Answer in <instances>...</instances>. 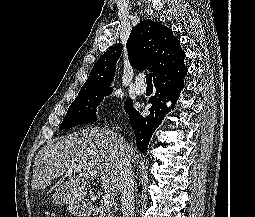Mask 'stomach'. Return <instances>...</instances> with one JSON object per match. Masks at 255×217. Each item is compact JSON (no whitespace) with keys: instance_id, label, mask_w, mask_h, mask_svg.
<instances>
[{"instance_id":"1","label":"stomach","mask_w":255,"mask_h":217,"mask_svg":"<svg viewBox=\"0 0 255 217\" xmlns=\"http://www.w3.org/2000/svg\"><path fill=\"white\" fill-rule=\"evenodd\" d=\"M68 212L75 216H82L88 211V204L85 201L75 202L68 205Z\"/></svg>"}]
</instances>
